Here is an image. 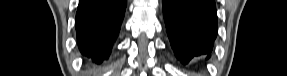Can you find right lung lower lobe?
Returning <instances> with one entry per match:
<instances>
[{"label":"right lung lower lobe","instance_id":"1","mask_svg":"<svg viewBox=\"0 0 287 76\" xmlns=\"http://www.w3.org/2000/svg\"><path fill=\"white\" fill-rule=\"evenodd\" d=\"M127 0H80L76 13L77 42L89 63L108 59L118 36Z\"/></svg>","mask_w":287,"mask_h":76}]
</instances>
